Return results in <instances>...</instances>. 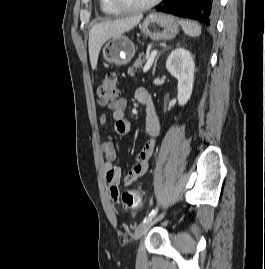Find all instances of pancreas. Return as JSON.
<instances>
[{"label": "pancreas", "instance_id": "cf45deb5", "mask_svg": "<svg viewBox=\"0 0 265 269\" xmlns=\"http://www.w3.org/2000/svg\"><path fill=\"white\" fill-rule=\"evenodd\" d=\"M143 54H140L139 57L135 60L132 67L128 69L129 75H134L143 65L144 60H142Z\"/></svg>", "mask_w": 265, "mask_h": 269}]
</instances>
